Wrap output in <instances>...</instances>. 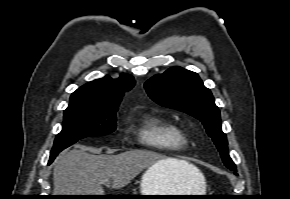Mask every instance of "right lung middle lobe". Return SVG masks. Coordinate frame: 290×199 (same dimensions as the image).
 Instances as JSON below:
<instances>
[{
  "mask_svg": "<svg viewBox=\"0 0 290 199\" xmlns=\"http://www.w3.org/2000/svg\"><path fill=\"white\" fill-rule=\"evenodd\" d=\"M116 111L66 109L62 131L55 138L50 158L56 157L79 139L112 133L116 129Z\"/></svg>",
  "mask_w": 290,
  "mask_h": 199,
  "instance_id": "dd1d6c3e",
  "label": "right lung middle lobe"
}]
</instances>
